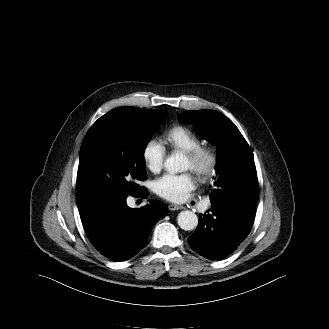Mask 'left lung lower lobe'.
<instances>
[{"mask_svg":"<svg viewBox=\"0 0 329 329\" xmlns=\"http://www.w3.org/2000/svg\"><path fill=\"white\" fill-rule=\"evenodd\" d=\"M233 191L224 200H211V209L200 214L197 229L188 238L191 248L207 259L229 255L249 234L259 195L256 168Z\"/></svg>","mask_w":329,"mask_h":329,"instance_id":"obj_1","label":"left lung lower lobe"}]
</instances>
